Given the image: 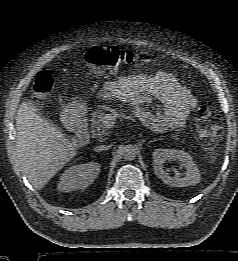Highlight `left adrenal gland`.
Masks as SVG:
<instances>
[{"instance_id":"a2214340","label":"left adrenal gland","mask_w":238,"mask_h":261,"mask_svg":"<svg viewBox=\"0 0 238 261\" xmlns=\"http://www.w3.org/2000/svg\"><path fill=\"white\" fill-rule=\"evenodd\" d=\"M157 140H160V139H153V140L149 141V143L155 142Z\"/></svg>"}]
</instances>
